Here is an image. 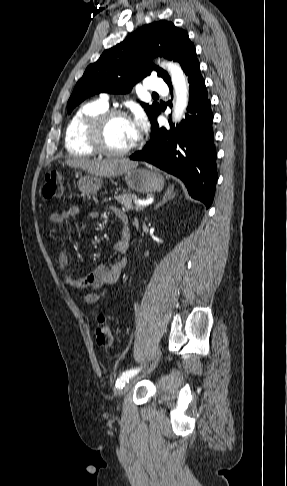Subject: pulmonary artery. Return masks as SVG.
Masks as SVG:
<instances>
[{
  "instance_id": "1",
  "label": "pulmonary artery",
  "mask_w": 287,
  "mask_h": 486,
  "mask_svg": "<svg viewBox=\"0 0 287 486\" xmlns=\"http://www.w3.org/2000/svg\"><path fill=\"white\" fill-rule=\"evenodd\" d=\"M146 88L149 90V91H152V92H159V93H166L167 90H168V87L167 85L165 84V82L160 79V78H157V77H150L147 82H146ZM101 100L105 103L108 104V97L107 95H102L101 96Z\"/></svg>"
}]
</instances>
